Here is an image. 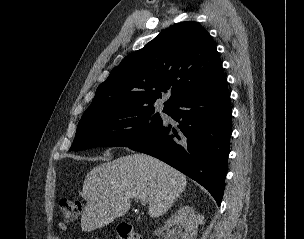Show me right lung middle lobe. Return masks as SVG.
Instances as JSON below:
<instances>
[{"mask_svg": "<svg viewBox=\"0 0 304 239\" xmlns=\"http://www.w3.org/2000/svg\"><path fill=\"white\" fill-rule=\"evenodd\" d=\"M153 105L118 107L81 118L70 150L100 146L128 147L162 123ZM164 111V110H163Z\"/></svg>", "mask_w": 304, "mask_h": 239, "instance_id": "dd1d6c3e", "label": "right lung middle lobe"}]
</instances>
